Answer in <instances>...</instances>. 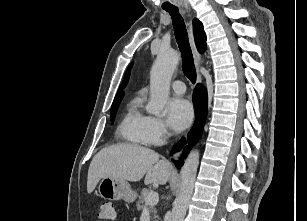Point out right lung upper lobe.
<instances>
[{"label":"right lung upper lobe","mask_w":307,"mask_h":221,"mask_svg":"<svg viewBox=\"0 0 307 221\" xmlns=\"http://www.w3.org/2000/svg\"><path fill=\"white\" fill-rule=\"evenodd\" d=\"M193 31H194V37H195V43H196L197 49L200 53H203L206 49V34L203 30L202 23L198 19L193 20ZM130 69H131V65L129 66V68L127 69L125 73L123 82L120 85L118 89V93L115 96V99L113 102L121 101V98L123 97L122 90L125 88L129 80Z\"/></svg>","instance_id":"1"}]
</instances>
